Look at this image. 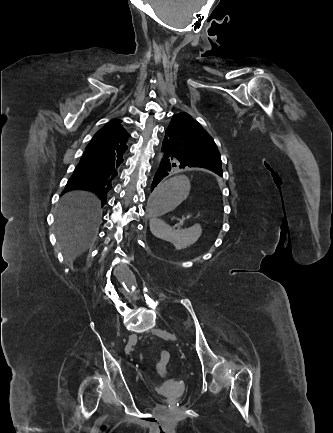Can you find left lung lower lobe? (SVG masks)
Segmentation results:
<instances>
[{"mask_svg": "<svg viewBox=\"0 0 333 433\" xmlns=\"http://www.w3.org/2000/svg\"><path fill=\"white\" fill-rule=\"evenodd\" d=\"M162 154L163 157L152 182L151 191H153L160 181L172 171L178 169L204 168L173 151L167 138H164L162 143Z\"/></svg>", "mask_w": 333, "mask_h": 433, "instance_id": "left-lung-lower-lobe-1", "label": "left lung lower lobe"}]
</instances>
